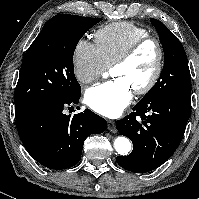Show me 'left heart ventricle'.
<instances>
[{"label":"left heart ventricle","mask_w":199,"mask_h":199,"mask_svg":"<svg viewBox=\"0 0 199 199\" xmlns=\"http://www.w3.org/2000/svg\"><path fill=\"white\" fill-rule=\"evenodd\" d=\"M156 60L157 52L154 45L147 44L127 64L113 68L111 75L125 79L131 89L139 88L149 80Z\"/></svg>","instance_id":"1"}]
</instances>
